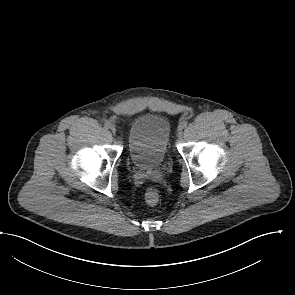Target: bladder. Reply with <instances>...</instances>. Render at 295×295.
I'll use <instances>...</instances> for the list:
<instances>
[{"label": "bladder", "instance_id": "1", "mask_svg": "<svg viewBox=\"0 0 295 295\" xmlns=\"http://www.w3.org/2000/svg\"><path fill=\"white\" fill-rule=\"evenodd\" d=\"M171 135L168 119L158 112L137 116L127 134V151L139 169L155 168L165 160Z\"/></svg>", "mask_w": 295, "mask_h": 295}]
</instances>
